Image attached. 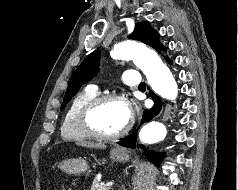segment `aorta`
Returning a JSON list of instances; mask_svg holds the SVG:
<instances>
[{
  "instance_id": "762f6f07",
  "label": "aorta",
  "mask_w": 238,
  "mask_h": 190,
  "mask_svg": "<svg viewBox=\"0 0 238 190\" xmlns=\"http://www.w3.org/2000/svg\"><path fill=\"white\" fill-rule=\"evenodd\" d=\"M115 59L133 60L146 75L152 90L161 97L174 100L178 94L177 83L159 56L146 45L125 40L117 43L111 51ZM167 135L165 125L159 121H151L141 129L139 138L147 144H154L162 141Z\"/></svg>"
}]
</instances>
